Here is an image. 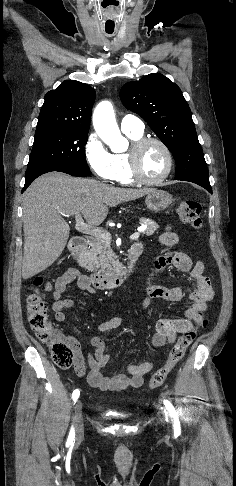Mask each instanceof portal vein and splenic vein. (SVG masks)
<instances>
[{
  "instance_id": "portal-vein-and-splenic-vein-1",
  "label": "portal vein and splenic vein",
  "mask_w": 236,
  "mask_h": 486,
  "mask_svg": "<svg viewBox=\"0 0 236 486\" xmlns=\"http://www.w3.org/2000/svg\"><path fill=\"white\" fill-rule=\"evenodd\" d=\"M64 217H69V215H65L63 214ZM75 219H76V224H75V229L84 233V234H87V235H91L93 237H96V238H99V239H103V240H106V241H110L111 240V235L108 231L106 230H103L99 227H95L93 225H90V224H87L84 222V220L82 219V216L80 214H76L75 215ZM145 226L141 229H139L137 232L133 233L132 235H130V239L131 240H136L139 238L140 236V232L141 231H144L145 230Z\"/></svg>"
}]
</instances>
